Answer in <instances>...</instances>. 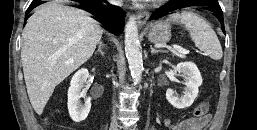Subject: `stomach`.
I'll return each mask as SVG.
<instances>
[{"mask_svg": "<svg viewBox=\"0 0 257 130\" xmlns=\"http://www.w3.org/2000/svg\"><path fill=\"white\" fill-rule=\"evenodd\" d=\"M147 37L152 43L168 42L171 38V27L166 22L157 21L151 26Z\"/></svg>", "mask_w": 257, "mask_h": 130, "instance_id": "stomach-1", "label": "stomach"}]
</instances>
